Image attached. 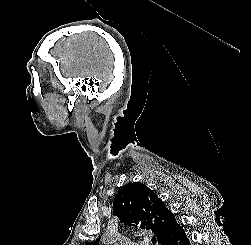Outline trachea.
Returning a JSON list of instances; mask_svg holds the SVG:
<instances>
[{"label":"trachea","instance_id":"trachea-1","mask_svg":"<svg viewBox=\"0 0 251 245\" xmlns=\"http://www.w3.org/2000/svg\"><path fill=\"white\" fill-rule=\"evenodd\" d=\"M151 241H152V243L154 245L156 243V238L153 237Z\"/></svg>","mask_w":251,"mask_h":245}]
</instances>
